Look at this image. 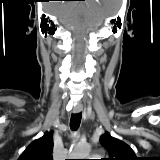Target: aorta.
Instances as JSON below:
<instances>
[{
    "label": "aorta",
    "instance_id": "aorta-1",
    "mask_svg": "<svg viewBox=\"0 0 160 160\" xmlns=\"http://www.w3.org/2000/svg\"><path fill=\"white\" fill-rule=\"evenodd\" d=\"M90 146L87 144H77L70 150L69 159H88Z\"/></svg>",
    "mask_w": 160,
    "mask_h": 160
}]
</instances>
